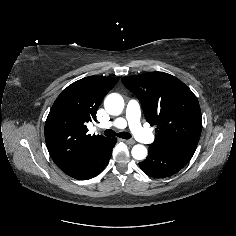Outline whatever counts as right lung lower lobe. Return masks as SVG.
Instances as JSON below:
<instances>
[{"instance_id": "98d812e1", "label": "right lung lower lobe", "mask_w": 236, "mask_h": 236, "mask_svg": "<svg viewBox=\"0 0 236 236\" xmlns=\"http://www.w3.org/2000/svg\"><path fill=\"white\" fill-rule=\"evenodd\" d=\"M116 142L115 138L105 140L77 170L68 175L78 180H87L98 175L108 163Z\"/></svg>"}]
</instances>
